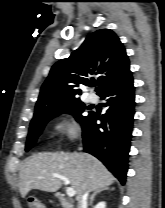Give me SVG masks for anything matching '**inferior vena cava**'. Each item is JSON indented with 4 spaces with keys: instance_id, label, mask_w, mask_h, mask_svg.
Masks as SVG:
<instances>
[{
    "instance_id": "1",
    "label": "inferior vena cava",
    "mask_w": 165,
    "mask_h": 208,
    "mask_svg": "<svg viewBox=\"0 0 165 208\" xmlns=\"http://www.w3.org/2000/svg\"><path fill=\"white\" fill-rule=\"evenodd\" d=\"M88 191H85L78 199V208H87L88 205Z\"/></svg>"
}]
</instances>
